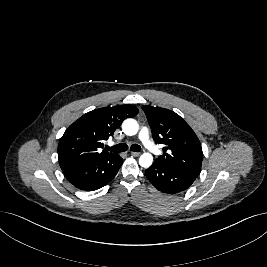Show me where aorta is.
I'll return each instance as SVG.
<instances>
[{
  "instance_id": "1",
  "label": "aorta",
  "mask_w": 267,
  "mask_h": 267,
  "mask_svg": "<svg viewBox=\"0 0 267 267\" xmlns=\"http://www.w3.org/2000/svg\"><path fill=\"white\" fill-rule=\"evenodd\" d=\"M122 130L128 136L137 134L139 130L137 121L132 118L126 119L122 124ZM152 163L153 156L148 152L143 153L139 158V164L141 167L148 168L152 165Z\"/></svg>"
}]
</instances>
